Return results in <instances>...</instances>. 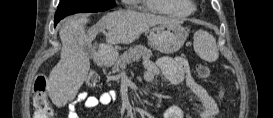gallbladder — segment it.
I'll return each instance as SVG.
<instances>
[{
    "label": "gallbladder",
    "mask_w": 273,
    "mask_h": 118,
    "mask_svg": "<svg viewBox=\"0 0 273 118\" xmlns=\"http://www.w3.org/2000/svg\"><path fill=\"white\" fill-rule=\"evenodd\" d=\"M84 50H85L86 54L88 55V57H92L93 56L94 50H93V48H92L91 45H85L84 46Z\"/></svg>",
    "instance_id": "obj_1"
}]
</instances>
